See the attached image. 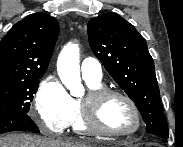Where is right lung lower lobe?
<instances>
[{
    "mask_svg": "<svg viewBox=\"0 0 183 147\" xmlns=\"http://www.w3.org/2000/svg\"><path fill=\"white\" fill-rule=\"evenodd\" d=\"M26 130L39 133L38 127L27 113L10 114L0 117V134Z\"/></svg>",
    "mask_w": 183,
    "mask_h": 147,
    "instance_id": "1",
    "label": "right lung lower lobe"
}]
</instances>
